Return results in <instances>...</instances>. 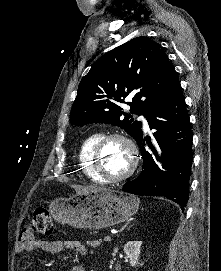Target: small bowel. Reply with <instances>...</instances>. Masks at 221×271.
Here are the masks:
<instances>
[{
    "mask_svg": "<svg viewBox=\"0 0 221 271\" xmlns=\"http://www.w3.org/2000/svg\"><path fill=\"white\" fill-rule=\"evenodd\" d=\"M36 249H40L46 253L55 255L61 253L63 250H72L80 255H86L88 253L87 247L79 240H46V239H33L30 242H20L16 246V252L18 254L25 252H32ZM70 271H85L82 265H73Z\"/></svg>",
    "mask_w": 221,
    "mask_h": 271,
    "instance_id": "1",
    "label": "small bowel"
}]
</instances>
